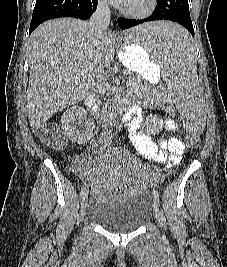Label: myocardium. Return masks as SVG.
I'll use <instances>...</instances> for the list:
<instances>
[{"mask_svg":"<svg viewBox=\"0 0 227 267\" xmlns=\"http://www.w3.org/2000/svg\"><path fill=\"white\" fill-rule=\"evenodd\" d=\"M157 4L158 0H147L145 6L141 9L124 7L122 9V12L124 13V15L130 18H135V19L145 18L151 15L155 11Z\"/></svg>","mask_w":227,"mask_h":267,"instance_id":"1","label":"myocardium"}]
</instances>
